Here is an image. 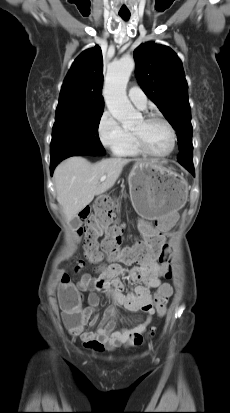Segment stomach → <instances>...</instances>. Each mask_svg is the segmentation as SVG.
<instances>
[{
    "instance_id": "1",
    "label": "stomach",
    "mask_w": 230,
    "mask_h": 413,
    "mask_svg": "<svg viewBox=\"0 0 230 413\" xmlns=\"http://www.w3.org/2000/svg\"><path fill=\"white\" fill-rule=\"evenodd\" d=\"M132 205L143 218L177 213L188 197V184L176 172L154 161L137 162L129 178Z\"/></svg>"
}]
</instances>
